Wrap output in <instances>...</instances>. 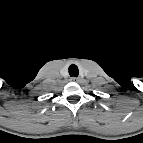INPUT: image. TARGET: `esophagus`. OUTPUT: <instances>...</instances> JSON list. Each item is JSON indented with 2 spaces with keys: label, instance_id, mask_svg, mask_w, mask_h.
Returning a JSON list of instances; mask_svg holds the SVG:
<instances>
[{
  "label": "esophagus",
  "instance_id": "obj_1",
  "mask_svg": "<svg viewBox=\"0 0 143 143\" xmlns=\"http://www.w3.org/2000/svg\"><path fill=\"white\" fill-rule=\"evenodd\" d=\"M79 80H80V78H78V77H72L71 78V81H73V82H79Z\"/></svg>",
  "mask_w": 143,
  "mask_h": 143
}]
</instances>
